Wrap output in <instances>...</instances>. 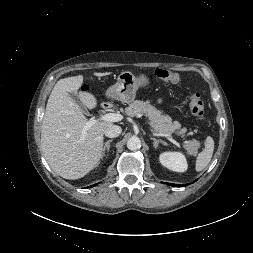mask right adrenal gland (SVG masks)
<instances>
[{"label": "right adrenal gland", "instance_id": "right-adrenal-gland-1", "mask_svg": "<svg viewBox=\"0 0 253 253\" xmlns=\"http://www.w3.org/2000/svg\"><path fill=\"white\" fill-rule=\"evenodd\" d=\"M113 140L110 139L108 141L105 142L104 144V147L102 149V159L108 155V152H109V149H110V143L112 142ZM107 150V154H105V151Z\"/></svg>", "mask_w": 253, "mask_h": 253}]
</instances>
